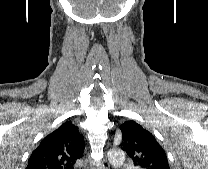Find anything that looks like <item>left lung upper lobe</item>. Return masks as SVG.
I'll return each mask as SVG.
<instances>
[{"instance_id": "5c2ea615", "label": "left lung upper lobe", "mask_w": 208, "mask_h": 169, "mask_svg": "<svg viewBox=\"0 0 208 169\" xmlns=\"http://www.w3.org/2000/svg\"><path fill=\"white\" fill-rule=\"evenodd\" d=\"M123 142L121 148L127 152L140 169H170L167 156L155 137L134 121L120 126Z\"/></svg>"}]
</instances>
